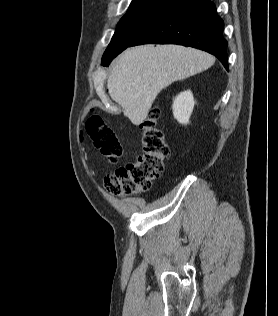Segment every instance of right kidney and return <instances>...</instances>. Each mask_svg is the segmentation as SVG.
Wrapping results in <instances>:
<instances>
[{"mask_svg":"<svg viewBox=\"0 0 278 316\" xmlns=\"http://www.w3.org/2000/svg\"><path fill=\"white\" fill-rule=\"evenodd\" d=\"M194 104L195 101L190 90L180 93L172 106L174 118L181 124H188Z\"/></svg>","mask_w":278,"mask_h":316,"instance_id":"1","label":"right kidney"}]
</instances>
